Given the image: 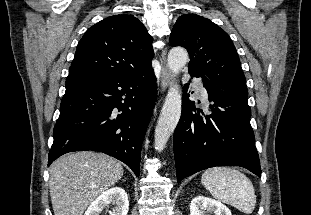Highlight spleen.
Listing matches in <instances>:
<instances>
[{
    "instance_id": "1",
    "label": "spleen",
    "mask_w": 311,
    "mask_h": 215,
    "mask_svg": "<svg viewBox=\"0 0 311 215\" xmlns=\"http://www.w3.org/2000/svg\"><path fill=\"white\" fill-rule=\"evenodd\" d=\"M201 183L211 195L245 214L255 208L256 195L249 178L234 168L213 167L204 171Z\"/></svg>"
}]
</instances>
